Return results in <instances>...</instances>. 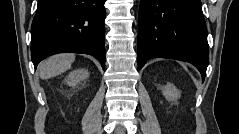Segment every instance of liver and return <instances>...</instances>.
I'll return each mask as SVG.
<instances>
[{
	"label": "liver",
	"instance_id": "1",
	"mask_svg": "<svg viewBox=\"0 0 239 134\" xmlns=\"http://www.w3.org/2000/svg\"><path fill=\"white\" fill-rule=\"evenodd\" d=\"M74 60V54H58L49 57L39 65L40 78L46 80L64 73L70 69Z\"/></svg>",
	"mask_w": 239,
	"mask_h": 134
}]
</instances>
